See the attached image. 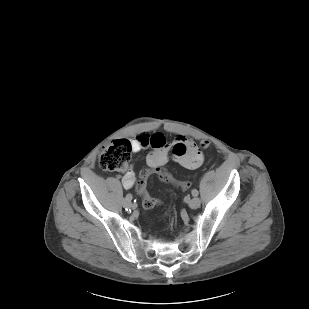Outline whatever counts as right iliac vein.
Instances as JSON below:
<instances>
[{
  "label": "right iliac vein",
  "instance_id": "right-iliac-vein-1",
  "mask_svg": "<svg viewBox=\"0 0 309 309\" xmlns=\"http://www.w3.org/2000/svg\"><path fill=\"white\" fill-rule=\"evenodd\" d=\"M124 207H134V204L132 202V199H127V197L123 201Z\"/></svg>",
  "mask_w": 309,
  "mask_h": 309
}]
</instances>
